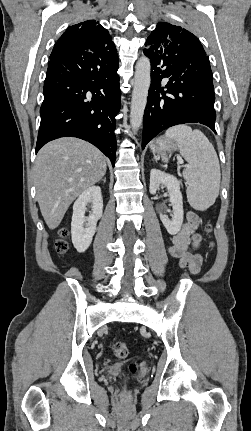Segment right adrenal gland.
<instances>
[{
  "mask_svg": "<svg viewBox=\"0 0 251 431\" xmlns=\"http://www.w3.org/2000/svg\"><path fill=\"white\" fill-rule=\"evenodd\" d=\"M102 181H103L104 183H106V177H104V178L102 179Z\"/></svg>",
  "mask_w": 251,
  "mask_h": 431,
  "instance_id": "right-adrenal-gland-1",
  "label": "right adrenal gland"
}]
</instances>
